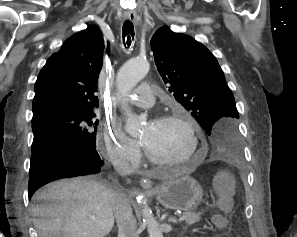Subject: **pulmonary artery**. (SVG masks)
I'll list each match as a JSON object with an SVG mask.
<instances>
[{"label":"pulmonary artery","mask_w":297,"mask_h":237,"mask_svg":"<svg viewBox=\"0 0 297 237\" xmlns=\"http://www.w3.org/2000/svg\"><path fill=\"white\" fill-rule=\"evenodd\" d=\"M154 93L149 83H142L130 96L129 101L137 106H151L154 102Z\"/></svg>","instance_id":"pulmonary-artery-1"}]
</instances>
